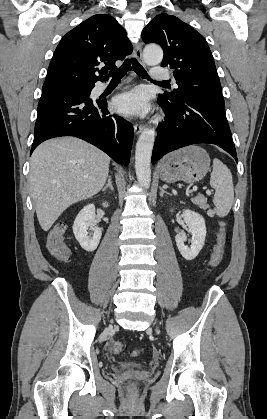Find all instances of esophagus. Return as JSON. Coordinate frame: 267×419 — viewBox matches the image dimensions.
Here are the masks:
<instances>
[{"label": "esophagus", "mask_w": 267, "mask_h": 419, "mask_svg": "<svg viewBox=\"0 0 267 419\" xmlns=\"http://www.w3.org/2000/svg\"><path fill=\"white\" fill-rule=\"evenodd\" d=\"M134 56L139 61L142 62V47L140 43H137L134 49ZM144 125L142 124H135L134 131L136 134H139L143 131Z\"/></svg>", "instance_id": "esophagus-1"}]
</instances>
